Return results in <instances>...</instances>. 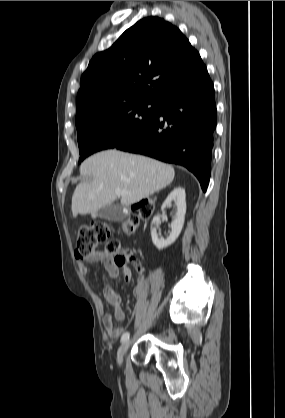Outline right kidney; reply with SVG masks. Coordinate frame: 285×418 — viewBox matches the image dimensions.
Segmentation results:
<instances>
[{
	"label": "right kidney",
	"mask_w": 285,
	"mask_h": 418,
	"mask_svg": "<svg viewBox=\"0 0 285 418\" xmlns=\"http://www.w3.org/2000/svg\"><path fill=\"white\" fill-rule=\"evenodd\" d=\"M172 202L177 207V211L175 218L171 223L172 231L169 237L167 239H160L156 234L155 228H151L152 242L159 250L173 244L179 237L183 228L186 213V195L185 190L183 188H174V190L168 195V197L162 204L161 210L164 211V209L171 205ZM158 222H160V217L157 215L153 218L152 225Z\"/></svg>",
	"instance_id": "1"
}]
</instances>
